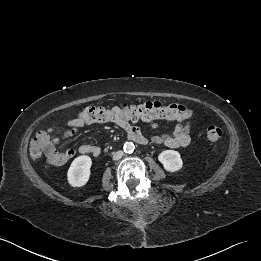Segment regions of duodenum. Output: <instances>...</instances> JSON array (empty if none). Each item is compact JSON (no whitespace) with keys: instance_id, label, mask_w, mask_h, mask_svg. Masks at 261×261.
<instances>
[{"instance_id":"410a0bca","label":"duodenum","mask_w":261,"mask_h":261,"mask_svg":"<svg viewBox=\"0 0 261 261\" xmlns=\"http://www.w3.org/2000/svg\"><path fill=\"white\" fill-rule=\"evenodd\" d=\"M129 139L141 145H146L148 143V140L141 133L131 134Z\"/></svg>"}]
</instances>
